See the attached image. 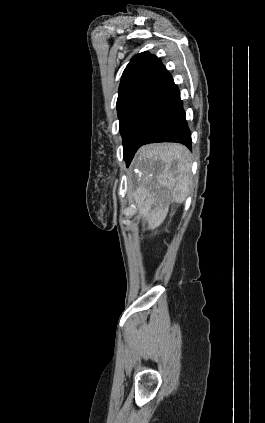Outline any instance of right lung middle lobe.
<instances>
[{
    "label": "right lung middle lobe",
    "instance_id": "dd1d6c3e",
    "mask_svg": "<svg viewBox=\"0 0 265 423\" xmlns=\"http://www.w3.org/2000/svg\"><path fill=\"white\" fill-rule=\"evenodd\" d=\"M147 95L138 94L126 97L120 101H117V112L120 121V133L124 136L127 128L129 127L132 118L136 111L139 109L141 104L144 102ZM124 159L126 161L127 155L124 152Z\"/></svg>",
    "mask_w": 265,
    "mask_h": 423
}]
</instances>
